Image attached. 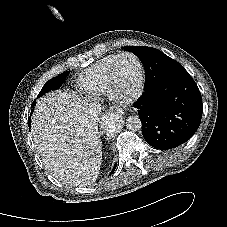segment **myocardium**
<instances>
[{
    "mask_svg": "<svg viewBox=\"0 0 227 227\" xmlns=\"http://www.w3.org/2000/svg\"><path fill=\"white\" fill-rule=\"evenodd\" d=\"M124 57L133 58L139 67V73H140L138 87H137L136 91L129 97H122V96L118 95L117 84H116V80H115L116 65L119 62V60H121ZM145 76H146V74H145L144 65H143L141 59L136 54H134L132 52H123V53L117 55V57L115 58V60L111 64V66L109 67L108 74H107L108 96L113 101H115L116 103H119V104H131V103L135 102L136 100L139 99V97L143 93V90L145 87V78H146Z\"/></svg>",
    "mask_w": 227,
    "mask_h": 227,
    "instance_id": "obj_1",
    "label": "myocardium"
}]
</instances>
